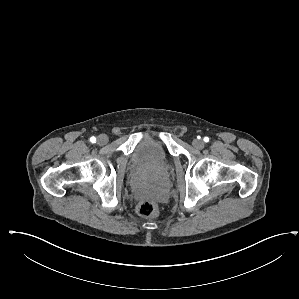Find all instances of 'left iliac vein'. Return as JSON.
<instances>
[{
	"mask_svg": "<svg viewBox=\"0 0 299 299\" xmlns=\"http://www.w3.org/2000/svg\"><path fill=\"white\" fill-rule=\"evenodd\" d=\"M192 145L196 149H202V148H204L205 143L202 140L195 139L192 141Z\"/></svg>",
	"mask_w": 299,
	"mask_h": 299,
	"instance_id": "1",
	"label": "left iliac vein"
}]
</instances>
